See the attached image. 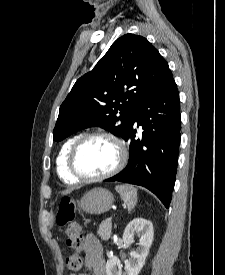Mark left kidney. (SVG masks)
Wrapping results in <instances>:
<instances>
[{
    "mask_svg": "<svg viewBox=\"0 0 225 275\" xmlns=\"http://www.w3.org/2000/svg\"><path fill=\"white\" fill-rule=\"evenodd\" d=\"M139 237L138 247L130 253L125 262V271L120 270L121 265L117 258H111L106 263L107 275H138L145 264L149 248L153 242L154 230L152 222L143 218L132 220L123 233V241L130 245L134 242V235Z\"/></svg>",
    "mask_w": 225,
    "mask_h": 275,
    "instance_id": "obj_1",
    "label": "left kidney"
}]
</instances>
